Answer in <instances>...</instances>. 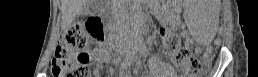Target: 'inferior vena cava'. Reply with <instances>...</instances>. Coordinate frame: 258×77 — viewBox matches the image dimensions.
I'll return each instance as SVG.
<instances>
[{
	"instance_id": "inferior-vena-cava-1",
	"label": "inferior vena cava",
	"mask_w": 258,
	"mask_h": 77,
	"mask_svg": "<svg viewBox=\"0 0 258 77\" xmlns=\"http://www.w3.org/2000/svg\"><path fill=\"white\" fill-rule=\"evenodd\" d=\"M125 0H117V5L115 6V18L119 25H122L129 18L128 10L124 5Z\"/></svg>"
}]
</instances>
